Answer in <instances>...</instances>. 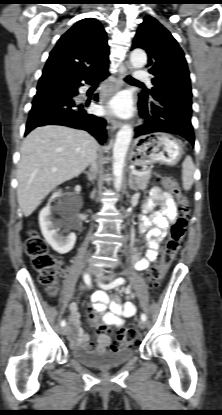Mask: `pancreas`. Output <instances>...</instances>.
Returning a JSON list of instances; mask_svg holds the SVG:
<instances>
[{
	"mask_svg": "<svg viewBox=\"0 0 222 415\" xmlns=\"http://www.w3.org/2000/svg\"><path fill=\"white\" fill-rule=\"evenodd\" d=\"M144 172H146V173L134 176L137 189L144 190V189L147 188V185H148L149 180L151 178V175H150L151 171L147 170V171H144Z\"/></svg>",
	"mask_w": 222,
	"mask_h": 415,
	"instance_id": "obj_1",
	"label": "pancreas"
}]
</instances>
